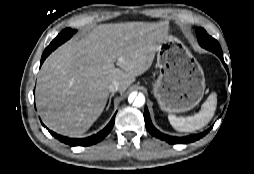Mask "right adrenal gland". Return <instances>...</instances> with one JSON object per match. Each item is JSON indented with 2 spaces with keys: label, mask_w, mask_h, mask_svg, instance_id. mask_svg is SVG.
<instances>
[{
  "label": "right adrenal gland",
  "mask_w": 254,
  "mask_h": 174,
  "mask_svg": "<svg viewBox=\"0 0 254 174\" xmlns=\"http://www.w3.org/2000/svg\"><path fill=\"white\" fill-rule=\"evenodd\" d=\"M113 96H114V93H112V94L110 95V97H109V102H108V105H107V107H106V110L109 109L110 104H111V99H112Z\"/></svg>",
  "instance_id": "2a0ac1e0"
}]
</instances>
